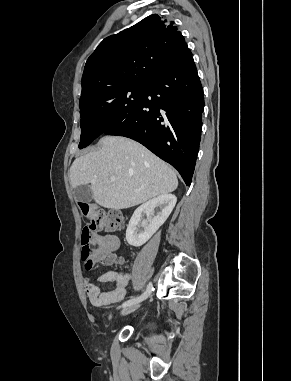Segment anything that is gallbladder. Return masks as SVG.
<instances>
[{"mask_svg":"<svg viewBox=\"0 0 291 381\" xmlns=\"http://www.w3.org/2000/svg\"><path fill=\"white\" fill-rule=\"evenodd\" d=\"M74 198L77 202L89 203L93 199V193L90 185H81L74 189Z\"/></svg>","mask_w":291,"mask_h":381,"instance_id":"obj_1","label":"gallbladder"}]
</instances>
